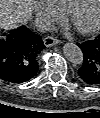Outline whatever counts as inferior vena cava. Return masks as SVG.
<instances>
[{
	"instance_id": "inferior-vena-cava-1",
	"label": "inferior vena cava",
	"mask_w": 100,
	"mask_h": 118,
	"mask_svg": "<svg viewBox=\"0 0 100 118\" xmlns=\"http://www.w3.org/2000/svg\"><path fill=\"white\" fill-rule=\"evenodd\" d=\"M51 22L45 18L35 19V28L40 32L49 31L51 29Z\"/></svg>"
}]
</instances>
